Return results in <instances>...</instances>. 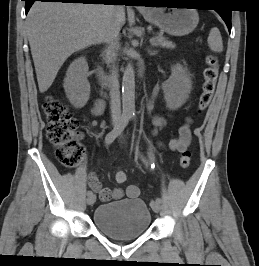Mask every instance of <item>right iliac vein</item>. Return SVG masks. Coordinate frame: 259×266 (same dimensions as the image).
Returning a JSON list of instances; mask_svg holds the SVG:
<instances>
[{
    "label": "right iliac vein",
    "instance_id": "right-iliac-vein-1",
    "mask_svg": "<svg viewBox=\"0 0 259 266\" xmlns=\"http://www.w3.org/2000/svg\"><path fill=\"white\" fill-rule=\"evenodd\" d=\"M116 125H117V123L115 122L114 126H116ZM86 201H87L88 205H93L96 201V196L95 195L88 196Z\"/></svg>",
    "mask_w": 259,
    "mask_h": 266
}]
</instances>
